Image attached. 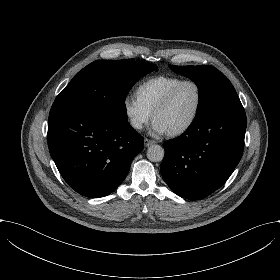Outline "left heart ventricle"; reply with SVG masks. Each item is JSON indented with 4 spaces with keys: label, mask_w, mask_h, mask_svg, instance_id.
Wrapping results in <instances>:
<instances>
[{
    "label": "left heart ventricle",
    "mask_w": 280,
    "mask_h": 280,
    "mask_svg": "<svg viewBox=\"0 0 280 280\" xmlns=\"http://www.w3.org/2000/svg\"><path fill=\"white\" fill-rule=\"evenodd\" d=\"M198 104V91L194 84L183 85L173 97L170 105L156 118L162 120L170 131L186 124L193 117Z\"/></svg>",
    "instance_id": "b2bd125f"
}]
</instances>
